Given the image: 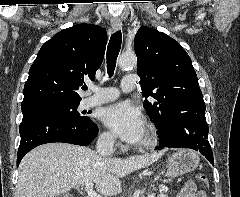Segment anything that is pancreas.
Returning <instances> with one entry per match:
<instances>
[{
    "mask_svg": "<svg viewBox=\"0 0 240 197\" xmlns=\"http://www.w3.org/2000/svg\"><path fill=\"white\" fill-rule=\"evenodd\" d=\"M157 197H167L165 193H160Z\"/></svg>",
    "mask_w": 240,
    "mask_h": 197,
    "instance_id": "cf45deb5",
    "label": "pancreas"
}]
</instances>
